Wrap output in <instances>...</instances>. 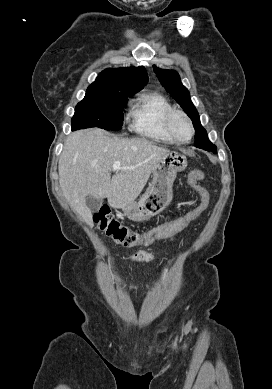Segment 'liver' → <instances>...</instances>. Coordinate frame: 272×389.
<instances>
[{
	"mask_svg": "<svg viewBox=\"0 0 272 389\" xmlns=\"http://www.w3.org/2000/svg\"><path fill=\"white\" fill-rule=\"evenodd\" d=\"M169 153L144 138L110 136L102 129L79 130L69 135L59 159L62 193L75 212L92 225L86 197L107 198L113 208L135 201L157 163ZM115 161L120 169L111 177Z\"/></svg>",
	"mask_w": 272,
	"mask_h": 389,
	"instance_id": "obj_1",
	"label": "liver"
}]
</instances>
